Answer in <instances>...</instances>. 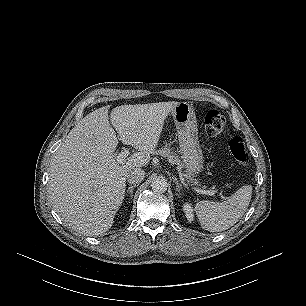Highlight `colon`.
<instances>
[{
	"label": "colon",
	"instance_id": "colon-1",
	"mask_svg": "<svg viewBox=\"0 0 306 306\" xmlns=\"http://www.w3.org/2000/svg\"><path fill=\"white\" fill-rule=\"evenodd\" d=\"M225 117L216 109H210L204 116V130L207 138H212L221 133L225 127ZM229 149L233 157L242 165H246L249 154L244 141L239 136H234L229 140Z\"/></svg>",
	"mask_w": 306,
	"mask_h": 306
}]
</instances>
